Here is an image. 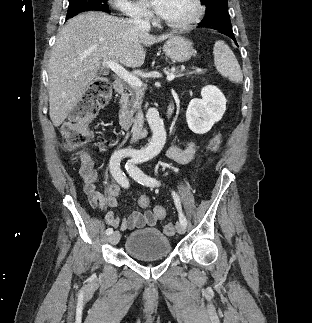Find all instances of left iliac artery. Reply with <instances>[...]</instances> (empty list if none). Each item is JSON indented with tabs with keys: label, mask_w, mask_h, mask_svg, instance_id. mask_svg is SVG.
Here are the masks:
<instances>
[{
	"label": "left iliac artery",
	"mask_w": 312,
	"mask_h": 323,
	"mask_svg": "<svg viewBox=\"0 0 312 323\" xmlns=\"http://www.w3.org/2000/svg\"><path fill=\"white\" fill-rule=\"evenodd\" d=\"M145 160H146V158H138V159H135V161H136L135 163L144 162ZM126 170L129 172L130 176L134 180H136L138 183H140L142 185H146V186H150V187L160 185V182L157 179L144 174L140 169H138L137 167H134L133 165L126 166ZM172 195H173L175 205H176L178 212H179V220L184 226H186L187 220H186V217L184 216V214L182 213L179 196L174 191L172 192Z\"/></svg>",
	"instance_id": "left-iliac-artery-1"
}]
</instances>
